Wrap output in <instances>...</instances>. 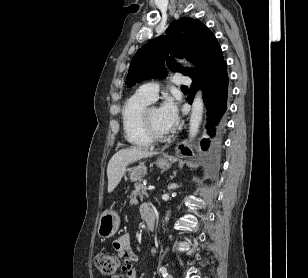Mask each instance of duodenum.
Returning a JSON list of instances; mask_svg holds the SVG:
<instances>
[{
  "instance_id": "duodenum-1",
  "label": "duodenum",
  "mask_w": 308,
  "mask_h": 278,
  "mask_svg": "<svg viewBox=\"0 0 308 278\" xmlns=\"http://www.w3.org/2000/svg\"><path fill=\"white\" fill-rule=\"evenodd\" d=\"M145 219H146V221L148 223L149 228L151 230H153L154 227H155V215L152 214V213L148 214V215H146Z\"/></svg>"
}]
</instances>
